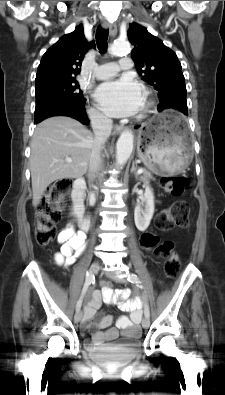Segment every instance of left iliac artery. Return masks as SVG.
<instances>
[{
    "label": "left iliac artery",
    "instance_id": "1",
    "mask_svg": "<svg viewBox=\"0 0 225 395\" xmlns=\"http://www.w3.org/2000/svg\"><path fill=\"white\" fill-rule=\"evenodd\" d=\"M127 279H128L129 282L134 283L137 286H139V284L141 283L140 280H139V277L135 273L128 274ZM144 300H145L144 314H145V317L149 318L150 317V311H149V306H148L147 299H146L145 295H144Z\"/></svg>",
    "mask_w": 225,
    "mask_h": 395
}]
</instances>
